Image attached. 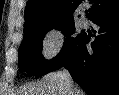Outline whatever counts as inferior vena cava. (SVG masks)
<instances>
[{"label": "inferior vena cava", "instance_id": "602c4592", "mask_svg": "<svg viewBox=\"0 0 119 95\" xmlns=\"http://www.w3.org/2000/svg\"><path fill=\"white\" fill-rule=\"evenodd\" d=\"M62 77L65 80V82L69 88L70 94L71 95H80V91L74 86V82H73L68 70L64 69L62 71Z\"/></svg>", "mask_w": 119, "mask_h": 95}]
</instances>
